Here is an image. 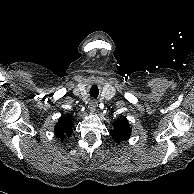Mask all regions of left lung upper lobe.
Here are the masks:
<instances>
[{"instance_id":"obj_1","label":"left lung upper lobe","mask_w":194,"mask_h":194,"mask_svg":"<svg viewBox=\"0 0 194 194\" xmlns=\"http://www.w3.org/2000/svg\"><path fill=\"white\" fill-rule=\"evenodd\" d=\"M113 126L114 129L111 131V135L116 143H120L130 137L131 128L126 118L118 119Z\"/></svg>"}]
</instances>
